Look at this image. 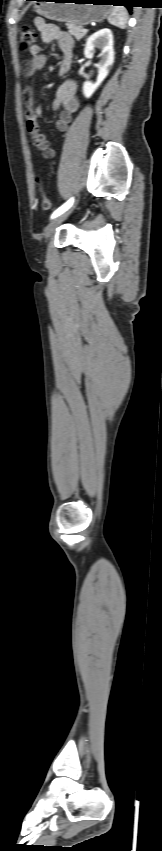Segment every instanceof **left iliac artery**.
Masks as SVG:
<instances>
[{"label":"left iliac artery","instance_id":"1","mask_svg":"<svg viewBox=\"0 0 162 851\" xmlns=\"http://www.w3.org/2000/svg\"><path fill=\"white\" fill-rule=\"evenodd\" d=\"M73 202V198L69 199L65 204H63L61 207L54 211V213L51 215V218H55L63 212L67 211L73 205Z\"/></svg>","mask_w":162,"mask_h":851}]
</instances>
